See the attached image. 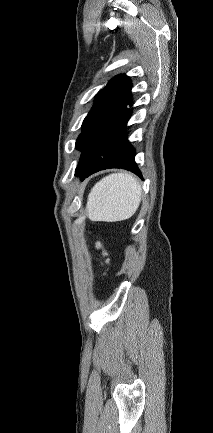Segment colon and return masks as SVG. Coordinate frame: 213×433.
Masks as SVG:
<instances>
[{"label": "colon", "instance_id": "obj_1", "mask_svg": "<svg viewBox=\"0 0 213 433\" xmlns=\"http://www.w3.org/2000/svg\"><path fill=\"white\" fill-rule=\"evenodd\" d=\"M95 247L100 251V254L103 258L104 265L108 266L110 261L108 258V251L105 249L104 243L100 240L95 241Z\"/></svg>", "mask_w": 213, "mask_h": 433}]
</instances>
